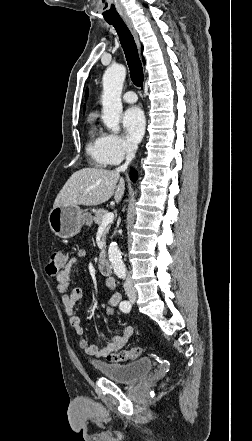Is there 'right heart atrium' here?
<instances>
[{
    "label": "right heart atrium",
    "mask_w": 252,
    "mask_h": 441,
    "mask_svg": "<svg viewBox=\"0 0 252 441\" xmlns=\"http://www.w3.org/2000/svg\"><path fill=\"white\" fill-rule=\"evenodd\" d=\"M104 150L110 165H117L134 153V148L116 133L104 134Z\"/></svg>",
    "instance_id": "obj_1"
}]
</instances>
